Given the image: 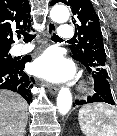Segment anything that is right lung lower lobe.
Returning <instances> with one entry per match:
<instances>
[{"label":"right lung lower lobe","mask_w":117,"mask_h":136,"mask_svg":"<svg viewBox=\"0 0 117 136\" xmlns=\"http://www.w3.org/2000/svg\"><path fill=\"white\" fill-rule=\"evenodd\" d=\"M27 56L21 60H14L10 63L0 62V89H8L18 92L30 103L32 94L30 88L33 86V77L25 74V62L30 61Z\"/></svg>","instance_id":"right-lung-lower-lobe-1"}]
</instances>
